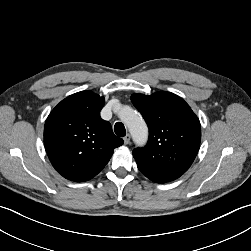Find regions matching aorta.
<instances>
[{
	"instance_id": "762f6f07",
	"label": "aorta",
	"mask_w": 251,
	"mask_h": 251,
	"mask_svg": "<svg viewBox=\"0 0 251 251\" xmlns=\"http://www.w3.org/2000/svg\"><path fill=\"white\" fill-rule=\"evenodd\" d=\"M118 116L129 128L135 141L144 142L147 139L148 128L140 114L129 106H123L119 111Z\"/></svg>"
}]
</instances>
